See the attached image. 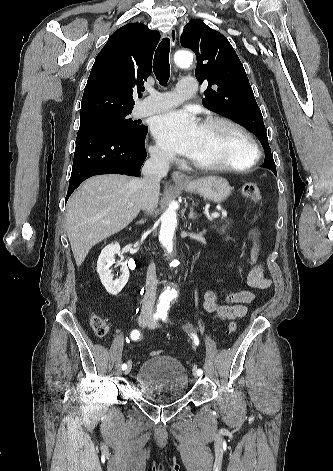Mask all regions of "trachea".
I'll return each instance as SVG.
<instances>
[{"label": "trachea", "instance_id": "1", "mask_svg": "<svg viewBox=\"0 0 333 471\" xmlns=\"http://www.w3.org/2000/svg\"><path fill=\"white\" fill-rule=\"evenodd\" d=\"M169 52L170 40L164 38L156 49L153 63L154 74L162 86L167 84L170 77Z\"/></svg>", "mask_w": 333, "mask_h": 471}]
</instances>
